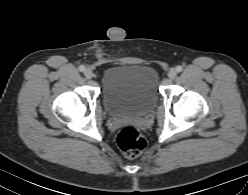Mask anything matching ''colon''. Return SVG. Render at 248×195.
Returning a JSON list of instances; mask_svg holds the SVG:
<instances>
[{"label": "colon", "instance_id": "1", "mask_svg": "<svg viewBox=\"0 0 248 195\" xmlns=\"http://www.w3.org/2000/svg\"><path fill=\"white\" fill-rule=\"evenodd\" d=\"M117 143L128 157H136L146 148V141L141 132L131 125L125 126L120 130L117 136Z\"/></svg>", "mask_w": 248, "mask_h": 195}]
</instances>
